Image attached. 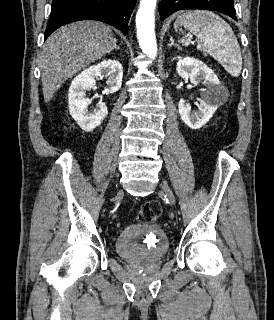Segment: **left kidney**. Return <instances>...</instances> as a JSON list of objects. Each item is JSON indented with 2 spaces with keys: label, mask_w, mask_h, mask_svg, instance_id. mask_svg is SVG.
I'll list each match as a JSON object with an SVG mask.
<instances>
[{
  "label": "left kidney",
  "mask_w": 274,
  "mask_h": 320,
  "mask_svg": "<svg viewBox=\"0 0 274 320\" xmlns=\"http://www.w3.org/2000/svg\"><path fill=\"white\" fill-rule=\"evenodd\" d=\"M177 74L181 78H189L191 84H203L205 90H202L198 98L200 102L198 110H191L190 104L181 98L178 104L181 120L192 128V130H200L212 118L219 106L226 102V88L219 82L216 74L206 64L195 60V58H182L177 62Z\"/></svg>",
  "instance_id": "1"
}]
</instances>
